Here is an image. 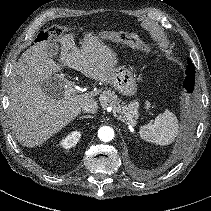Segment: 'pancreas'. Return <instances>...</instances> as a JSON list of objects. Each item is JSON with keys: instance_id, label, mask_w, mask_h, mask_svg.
I'll return each instance as SVG.
<instances>
[{"instance_id": "obj_1", "label": "pancreas", "mask_w": 211, "mask_h": 211, "mask_svg": "<svg viewBox=\"0 0 211 211\" xmlns=\"http://www.w3.org/2000/svg\"><path fill=\"white\" fill-rule=\"evenodd\" d=\"M100 99L104 107H112L113 116L118 120L131 125L136 124L135 119L138 117V101L134 100L126 105L124 102H121L118 95L110 89L104 90L100 95Z\"/></svg>"}]
</instances>
